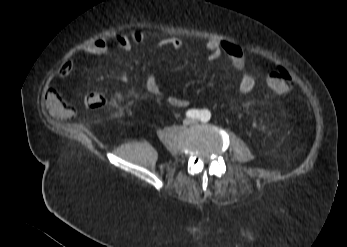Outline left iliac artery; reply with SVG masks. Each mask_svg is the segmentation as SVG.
I'll return each instance as SVG.
<instances>
[{
  "instance_id": "obj_1",
  "label": "left iliac artery",
  "mask_w": 347,
  "mask_h": 247,
  "mask_svg": "<svg viewBox=\"0 0 347 247\" xmlns=\"http://www.w3.org/2000/svg\"><path fill=\"white\" fill-rule=\"evenodd\" d=\"M211 118V114L208 110H203L200 116L202 122H208Z\"/></svg>"
}]
</instances>
